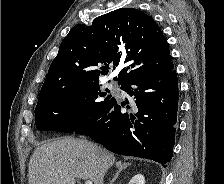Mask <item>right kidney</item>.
I'll return each instance as SVG.
<instances>
[{
  "instance_id": "1",
  "label": "right kidney",
  "mask_w": 224,
  "mask_h": 184,
  "mask_svg": "<svg viewBox=\"0 0 224 184\" xmlns=\"http://www.w3.org/2000/svg\"><path fill=\"white\" fill-rule=\"evenodd\" d=\"M129 184H145L144 176L137 174L130 180Z\"/></svg>"
}]
</instances>
